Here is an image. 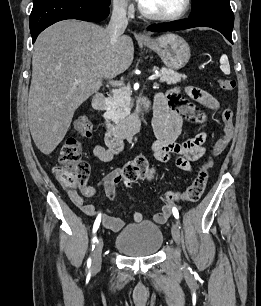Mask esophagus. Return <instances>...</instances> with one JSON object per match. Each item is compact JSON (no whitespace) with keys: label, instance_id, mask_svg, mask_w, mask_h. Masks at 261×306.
I'll use <instances>...</instances> for the list:
<instances>
[{"label":"esophagus","instance_id":"esophagus-1","mask_svg":"<svg viewBox=\"0 0 261 306\" xmlns=\"http://www.w3.org/2000/svg\"><path fill=\"white\" fill-rule=\"evenodd\" d=\"M137 37L139 39H142V40H147L148 39V36L146 34H144V33H141V32L138 33Z\"/></svg>","mask_w":261,"mask_h":306}]
</instances>
